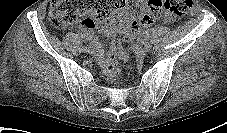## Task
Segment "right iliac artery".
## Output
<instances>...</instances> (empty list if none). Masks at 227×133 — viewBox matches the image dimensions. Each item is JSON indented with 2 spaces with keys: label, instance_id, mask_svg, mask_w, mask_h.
Masks as SVG:
<instances>
[{
  "label": "right iliac artery",
  "instance_id": "1",
  "mask_svg": "<svg viewBox=\"0 0 227 133\" xmlns=\"http://www.w3.org/2000/svg\"><path fill=\"white\" fill-rule=\"evenodd\" d=\"M87 48H88L87 46H83V47H82V50H83L84 52H86Z\"/></svg>",
  "mask_w": 227,
  "mask_h": 133
}]
</instances>
